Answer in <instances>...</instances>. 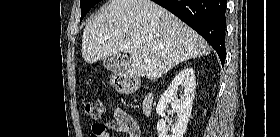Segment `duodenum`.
Wrapping results in <instances>:
<instances>
[{"label": "duodenum", "mask_w": 280, "mask_h": 137, "mask_svg": "<svg viewBox=\"0 0 280 137\" xmlns=\"http://www.w3.org/2000/svg\"><path fill=\"white\" fill-rule=\"evenodd\" d=\"M153 108V96L146 95L142 101V109L145 114H150Z\"/></svg>", "instance_id": "duodenum-1"}]
</instances>
